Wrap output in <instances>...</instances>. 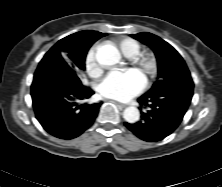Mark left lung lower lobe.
<instances>
[{"label": "left lung lower lobe", "instance_id": "left-lung-lower-lobe-1", "mask_svg": "<svg viewBox=\"0 0 222 187\" xmlns=\"http://www.w3.org/2000/svg\"><path fill=\"white\" fill-rule=\"evenodd\" d=\"M182 91L176 98H170L168 92L144 94L139 99L140 105L149 106L147 112H141V121L124 125L140 139L160 141L174 132L186 113L192 96L193 81L182 84Z\"/></svg>", "mask_w": 222, "mask_h": 187}]
</instances>
